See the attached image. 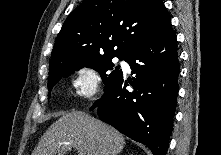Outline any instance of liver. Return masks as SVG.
Wrapping results in <instances>:
<instances>
[{
  "label": "liver",
  "mask_w": 221,
  "mask_h": 155,
  "mask_svg": "<svg viewBox=\"0 0 221 155\" xmlns=\"http://www.w3.org/2000/svg\"><path fill=\"white\" fill-rule=\"evenodd\" d=\"M124 145L116 129L84 112L72 111L47 129L32 155H65L72 148L85 155H118Z\"/></svg>",
  "instance_id": "1"
}]
</instances>
